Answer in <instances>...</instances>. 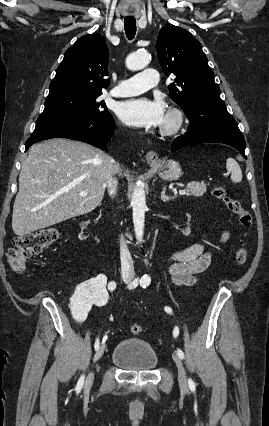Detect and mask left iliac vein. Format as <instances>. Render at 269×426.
Masks as SVG:
<instances>
[{
    "label": "left iliac vein",
    "mask_w": 269,
    "mask_h": 426,
    "mask_svg": "<svg viewBox=\"0 0 269 426\" xmlns=\"http://www.w3.org/2000/svg\"><path fill=\"white\" fill-rule=\"evenodd\" d=\"M172 358L178 368V381H179L180 387L186 390L188 388V383H187V376H186L183 363L180 357L178 356V354L176 353L172 354Z\"/></svg>",
    "instance_id": "1"
}]
</instances>
